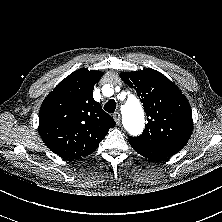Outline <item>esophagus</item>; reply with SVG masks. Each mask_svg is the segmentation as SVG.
<instances>
[{
    "mask_svg": "<svg viewBox=\"0 0 222 222\" xmlns=\"http://www.w3.org/2000/svg\"><path fill=\"white\" fill-rule=\"evenodd\" d=\"M113 118H114L116 124L119 125V124H120V121H121V115H120V113H119V112L114 113V114H113Z\"/></svg>",
    "mask_w": 222,
    "mask_h": 222,
    "instance_id": "1",
    "label": "esophagus"
}]
</instances>
